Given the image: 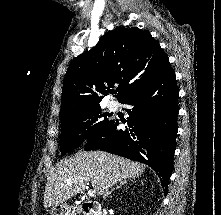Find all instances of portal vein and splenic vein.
<instances>
[{"label":"portal vein and splenic vein","instance_id":"portal-vein-and-splenic-vein-1","mask_svg":"<svg viewBox=\"0 0 221 215\" xmlns=\"http://www.w3.org/2000/svg\"><path fill=\"white\" fill-rule=\"evenodd\" d=\"M95 194H96V191H95V190H89V191H88V196H89V197H93V196H95Z\"/></svg>","mask_w":221,"mask_h":215}]
</instances>
